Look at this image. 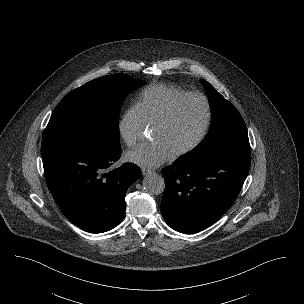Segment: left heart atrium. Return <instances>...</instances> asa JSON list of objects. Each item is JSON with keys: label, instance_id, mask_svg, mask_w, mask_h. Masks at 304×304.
I'll return each instance as SVG.
<instances>
[{"label": "left heart atrium", "instance_id": "left-heart-atrium-1", "mask_svg": "<svg viewBox=\"0 0 304 304\" xmlns=\"http://www.w3.org/2000/svg\"><path fill=\"white\" fill-rule=\"evenodd\" d=\"M172 151L162 142L145 143L126 153V160L144 168H155L173 158Z\"/></svg>", "mask_w": 304, "mask_h": 304}]
</instances>
